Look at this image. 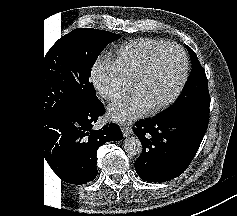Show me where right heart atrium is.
Listing matches in <instances>:
<instances>
[{"label": "right heart atrium", "instance_id": "obj_1", "mask_svg": "<svg viewBox=\"0 0 237 216\" xmlns=\"http://www.w3.org/2000/svg\"><path fill=\"white\" fill-rule=\"evenodd\" d=\"M92 83L97 94L102 98L116 97L122 89L121 78L106 64H99L92 72Z\"/></svg>", "mask_w": 237, "mask_h": 216}]
</instances>
